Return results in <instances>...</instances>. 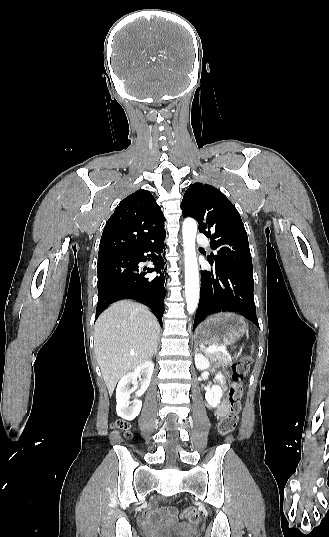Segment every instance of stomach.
<instances>
[{
  "label": "stomach",
  "instance_id": "0dacf381",
  "mask_svg": "<svg viewBox=\"0 0 329 537\" xmlns=\"http://www.w3.org/2000/svg\"><path fill=\"white\" fill-rule=\"evenodd\" d=\"M248 331L244 318L238 314L220 312L202 322L195 331L201 345H226L235 342Z\"/></svg>",
  "mask_w": 329,
  "mask_h": 537
}]
</instances>
